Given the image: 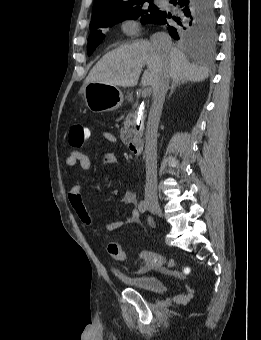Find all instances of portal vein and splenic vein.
<instances>
[{"instance_id": "obj_1", "label": "portal vein and splenic vein", "mask_w": 261, "mask_h": 340, "mask_svg": "<svg viewBox=\"0 0 261 340\" xmlns=\"http://www.w3.org/2000/svg\"><path fill=\"white\" fill-rule=\"evenodd\" d=\"M151 93V88H146L142 93V97L146 98Z\"/></svg>"}]
</instances>
